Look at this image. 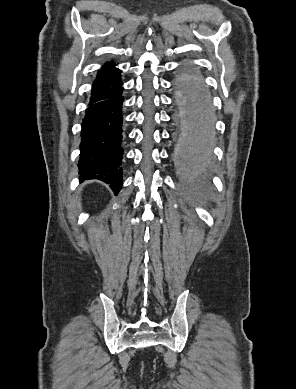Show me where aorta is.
Masks as SVG:
<instances>
[{
	"label": "aorta",
	"instance_id": "aorta-1",
	"mask_svg": "<svg viewBox=\"0 0 296 389\" xmlns=\"http://www.w3.org/2000/svg\"><path fill=\"white\" fill-rule=\"evenodd\" d=\"M176 90L179 138L172 148L176 167H186L192 177L214 162L212 130L213 94L197 72H180Z\"/></svg>",
	"mask_w": 296,
	"mask_h": 389
}]
</instances>
